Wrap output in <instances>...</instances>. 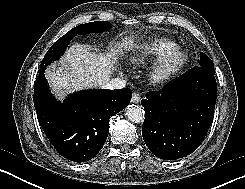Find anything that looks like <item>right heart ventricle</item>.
Listing matches in <instances>:
<instances>
[{
    "label": "right heart ventricle",
    "instance_id": "right-heart-ventricle-1",
    "mask_svg": "<svg viewBox=\"0 0 245 189\" xmlns=\"http://www.w3.org/2000/svg\"><path fill=\"white\" fill-rule=\"evenodd\" d=\"M173 47H176V43L167 38L148 40L133 57V62L134 64H141L148 60H157Z\"/></svg>",
    "mask_w": 245,
    "mask_h": 189
}]
</instances>
